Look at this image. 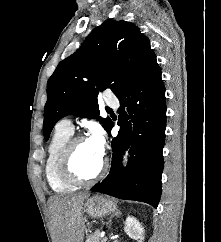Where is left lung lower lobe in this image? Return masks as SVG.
Listing matches in <instances>:
<instances>
[{
  "label": "left lung lower lobe",
  "instance_id": "1",
  "mask_svg": "<svg viewBox=\"0 0 221 242\" xmlns=\"http://www.w3.org/2000/svg\"><path fill=\"white\" fill-rule=\"evenodd\" d=\"M117 97L121 104L118 109L121 128L112 140L111 169L91 191L146 202L156 208L162 191L166 128L165 86L159 65ZM113 126L111 123L109 135ZM130 144L128 166L123 169V152Z\"/></svg>",
  "mask_w": 221,
  "mask_h": 242
}]
</instances>
